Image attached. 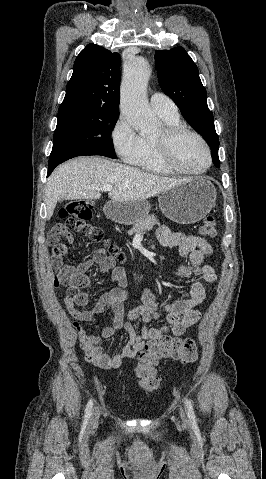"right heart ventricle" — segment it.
Instances as JSON below:
<instances>
[{
	"label": "right heart ventricle",
	"instance_id": "e07e8e85",
	"mask_svg": "<svg viewBox=\"0 0 266 479\" xmlns=\"http://www.w3.org/2000/svg\"><path fill=\"white\" fill-rule=\"evenodd\" d=\"M162 120L166 125H182L179 116L168 117L160 115ZM143 150L139 158L133 163L138 166L143 171L159 174V175H170L174 172L171 171L165 164L161 161L158 149L155 143V138L143 137Z\"/></svg>",
	"mask_w": 266,
	"mask_h": 479
}]
</instances>
